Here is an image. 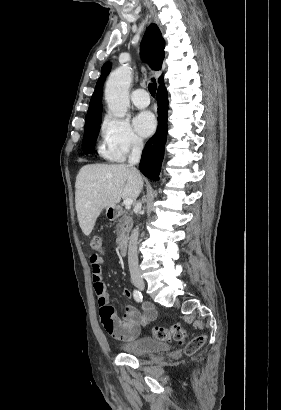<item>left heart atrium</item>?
I'll use <instances>...</instances> for the list:
<instances>
[{"mask_svg":"<svg viewBox=\"0 0 281 410\" xmlns=\"http://www.w3.org/2000/svg\"><path fill=\"white\" fill-rule=\"evenodd\" d=\"M134 127L141 136H149L156 127V120L151 112L139 113L134 119Z\"/></svg>","mask_w":281,"mask_h":410,"instance_id":"39dd6f15","label":"left heart atrium"}]
</instances>
